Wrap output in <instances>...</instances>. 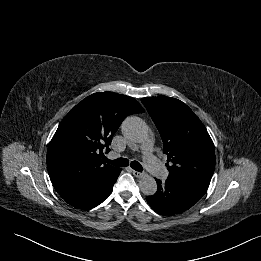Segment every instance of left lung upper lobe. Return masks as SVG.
I'll return each instance as SVG.
<instances>
[{
    "mask_svg": "<svg viewBox=\"0 0 261 261\" xmlns=\"http://www.w3.org/2000/svg\"><path fill=\"white\" fill-rule=\"evenodd\" d=\"M163 140L168 179L208 189L215 148L205 126L182 101L170 97L141 99Z\"/></svg>",
    "mask_w": 261,
    "mask_h": 261,
    "instance_id": "5c2ea615",
    "label": "left lung upper lobe"
}]
</instances>
